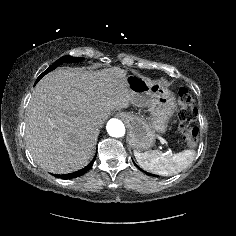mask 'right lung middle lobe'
Returning a JSON list of instances; mask_svg holds the SVG:
<instances>
[{
	"label": "right lung middle lobe",
	"instance_id": "1",
	"mask_svg": "<svg viewBox=\"0 0 236 236\" xmlns=\"http://www.w3.org/2000/svg\"><path fill=\"white\" fill-rule=\"evenodd\" d=\"M83 60L81 57H71V56H63L60 59H58L56 62H54L46 71H44L36 80V83L48 72L54 70L56 67L61 65L64 62H79Z\"/></svg>",
	"mask_w": 236,
	"mask_h": 236
}]
</instances>
